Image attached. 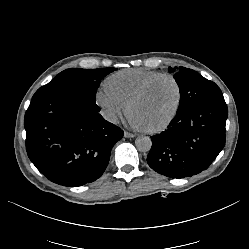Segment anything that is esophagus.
<instances>
[{"instance_id": "obj_1", "label": "esophagus", "mask_w": 249, "mask_h": 249, "mask_svg": "<svg viewBox=\"0 0 249 249\" xmlns=\"http://www.w3.org/2000/svg\"><path fill=\"white\" fill-rule=\"evenodd\" d=\"M124 137H126V138H133V137H136V135L133 134V133H129V132L125 131L124 132Z\"/></svg>"}]
</instances>
